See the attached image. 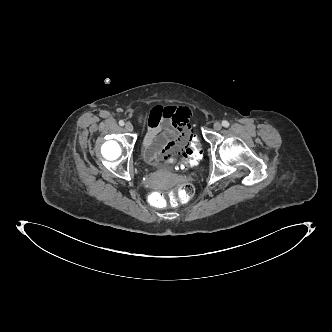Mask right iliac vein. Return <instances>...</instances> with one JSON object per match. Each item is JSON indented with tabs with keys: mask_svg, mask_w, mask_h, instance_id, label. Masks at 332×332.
Masks as SVG:
<instances>
[{
	"mask_svg": "<svg viewBox=\"0 0 332 332\" xmlns=\"http://www.w3.org/2000/svg\"><path fill=\"white\" fill-rule=\"evenodd\" d=\"M125 130L128 132H132L133 131V125L130 122H127L125 124Z\"/></svg>",
	"mask_w": 332,
	"mask_h": 332,
	"instance_id": "obj_1",
	"label": "right iliac vein"
}]
</instances>
